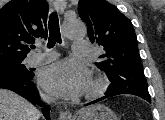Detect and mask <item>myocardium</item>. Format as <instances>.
<instances>
[{
    "instance_id": "f54148a6",
    "label": "myocardium",
    "mask_w": 165,
    "mask_h": 120,
    "mask_svg": "<svg viewBox=\"0 0 165 120\" xmlns=\"http://www.w3.org/2000/svg\"><path fill=\"white\" fill-rule=\"evenodd\" d=\"M109 81L103 75H96L91 80V88L85 93L86 99H94L101 96L108 88Z\"/></svg>"
}]
</instances>
